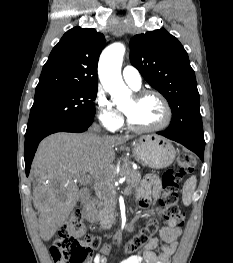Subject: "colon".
I'll return each instance as SVG.
<instances>
[{
    "mask_svg": "<svg viewBox=\"0 0 233 263\" xmlns=\"http://www.w3.org/2000/svg\"><path fill=\"white\" fill-rule=\"evenodd\" d=\"M194 159L190 154L180 153L175 169L168 170L162 177L163 198L162 217L174 219L178 225L184 223V213L178 203V186L193 167ZM158 229V220H150L147 225L125 246L127 253L143 249ZM96 251L103 254L111 252V246L103 243L99 236L87 232L80 210H75L63 224L58 238L51 247V256L55 263H92Z\"/></svg>",
    "mask_w": 233,
    "mask_h": 263,
    "instance_id": "colon-1",
    "label": "colon"
}]
</instances>
